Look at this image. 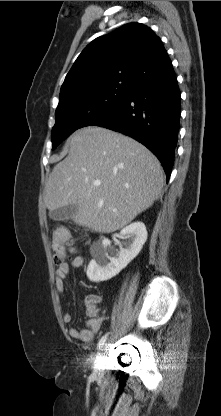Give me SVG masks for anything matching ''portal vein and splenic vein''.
Segmentation results:
<instances>
[{"mask_svg":"<svg viewBox=\"0 0 221 416\" xmlns=\"http://www.w3.org/2000/svg\"><path fill=\"white\" fill-rule=\"evenodd\" d=\"M95 185H96V186H99V185H100V182H95Z\"/></svg>","mask_w":221,"mask_h":416,"instance_id":"portal-vein-and-splenic-vein-1","label":"portal vein and splenic vein"}]
</instances>
